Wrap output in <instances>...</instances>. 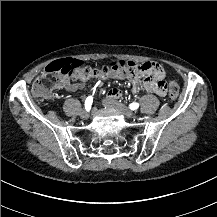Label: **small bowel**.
Instances as JSON below:
<instances>
[{"label": "small bowel", "instance_id": "obj_1", "mask_svg": "<svg viewBox=\"0 0 217 217\" xmlns=\"http://www.w3.org/2000/svg\"><path fill=\"white\" fill-rule=\"evenodd\" d=\"M85 74L72 75L76 79V83L73 84L72 89H81L84 87L86 82L90 79H95L99 81L106 80H124L127 76L121 71L105 70L100 66L94 59H89L86 62V67L84 68ZM67 77L61 75L59 78V86H63L67 83ZM146 87L154 92L155 94L162 96L165 93L163 86L147 83ZM123 95V91L119 88H112L107 92V98L110 100L120 98Z\"/></svg>", "mask_w": 217, "mask_h": 217}]
</instances>
